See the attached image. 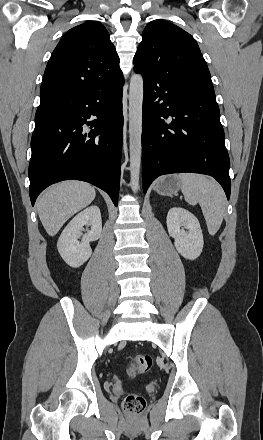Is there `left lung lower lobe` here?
Listing matches in <instances>:
<instances>
[{
    "mask_svg": "<svg viewBox=\"0 0 263 440\" xmlns=\"http://www.w3.org/2000/svg\"><path fill=\"white\" fill-rule=\"evenodd\" d=\"M144 78L142 183L146 193L160 175L192 172L214 177L230 198V161L215 93L171 75L134 68ZM172 121H166L168 117Z\"/></svg>",
    "mask_w": 263,
    "mask_h": 440,
    "instance_id": "obj_1",
    "label": "left lung lower lobe"
}]
</instances>
